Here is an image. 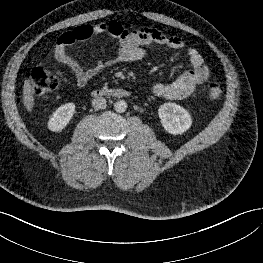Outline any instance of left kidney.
<instances>
[{
  "mask_svg": "<svg viewBox=\"0 0 263 263\" xmlns=\"http://www.w3.org/2000/svg\"><path fill=\"white\" fill-rule=\"evenodd\" d=\"M158 115L164 129L173 135L186 132L192 124L188 111L176 103L169 102L161 105Z\"/></svg>",
  "mask_w": 263,
  "mask_h": 263,
  "instance_id": "5707ae66",
  "label": "left kidney"
}]
</instances>
